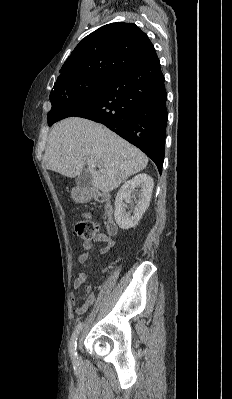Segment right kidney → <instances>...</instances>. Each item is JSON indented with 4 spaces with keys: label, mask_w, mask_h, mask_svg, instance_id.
<instances>
[{
    "label": "right kidney",
    "mask_w": 232,
    "mask_h": 399,
    "mask_svg": "<svg viewBox=\"0 0 232 399\" xmlns=\"http://www.w3.org/2000/svg\"><path fill=\"white\" fill-rule=\"evenodd\" d=\"M154 182L148 174H137L119 190L115 200V221L122 229L134 227L149 207ZM123 200L132 201L134 215L126 213Z\"/></svg>",
    "instance_id": "right-kidney-1"
}]
</instances>
